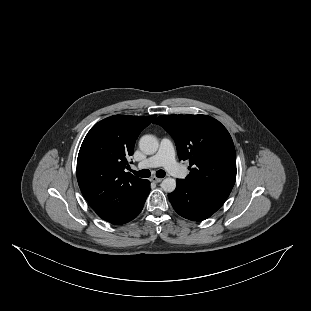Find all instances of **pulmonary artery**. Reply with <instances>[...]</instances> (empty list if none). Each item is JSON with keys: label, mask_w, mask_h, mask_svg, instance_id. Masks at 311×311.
<instances>
[{"label": "pulmonary artery", "mask_w": 311, "mask_h": 311, "mask_svg": "<svg viewBox=\"0 0 311 311\" xmlns=\"http://www.w3.org/2000/svg\"><path fill=\"white\" fill-rule=\"evenodd\" d=\"M178 165L173 143L168 138H162L157 153L138 163L137 167L139 169L163 167L169 173H173Z\"/></svg>", "instance_id": "obj_1"}]
</instances>
